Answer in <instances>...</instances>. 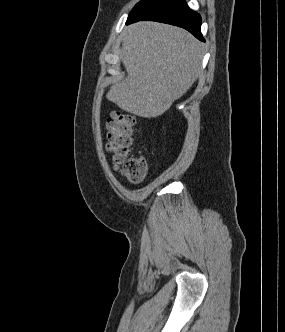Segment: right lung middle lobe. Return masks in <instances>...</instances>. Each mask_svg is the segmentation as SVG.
Segmentation results:
<instances>
[{
    "label": "right lung middle lobe",
    "instance_id": "right-lung-middle-lobe-1",
    "mask_svg": "<svg viewBox=\"0 0 285 332\" xmlns=\"http://www.w3.org/2000/svg\"><path fill=\"white\" fill-rule=\"evenodd\" d=\"M149 0H142L139 3L136 4V6L133 8V10L131 11V13L129 14V16L131 14H133L134 12H136L138 9H140L142 6H144Z\"/></svg>",
    "mask_w": 285,
    "mask_h": 332
}]
</instances>
